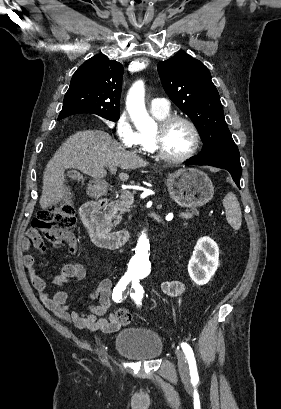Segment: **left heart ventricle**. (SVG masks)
Segmentation results:
<instances>
[{"mask_svg": "<svg viewBox=\"0 0 281 409\" xmlns=\"http://www.w3.org/2000/svg\"><path fill=\"white\" fill-rule=\"evenodd\" d=\"M191 146L192 134L189 128L182 122H174L163 134L162 147L171 156H182L190 150Z\"/></svg>", "mask_w": 281, "mask_h": 409, "instance_id": "obj_1", "label": "left heart ventricle"}]
</instances>
